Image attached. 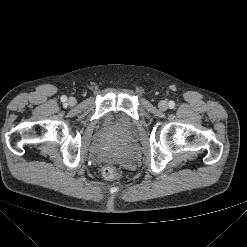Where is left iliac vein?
<instances>
[{
	"label": "left iliac vein",
	"instance_id": "4c4485c4",
	"mask_svg": "<svg viewBox=\"0 0 247 247\" xmlns=\"http://www.w3.org/2000/svg\"><path fill=\"white\" fill-rule=\"evenodd\" d=\"M158 108H159L160 110H162V111H165V110L168 109V103H167L166 101L162 100V101H160V102L158 103Z\"/></svg>",
	"mask_w": 247,
	"mask_h": 247
}]
</instances>
